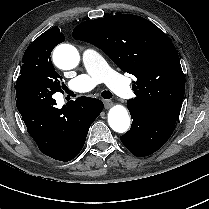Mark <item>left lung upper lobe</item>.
Returning a JSON list of instances; mask_svg holds the SVG:
<instances>
[{
	"label": "left lung upper lobe",
	"instance_id": "1",
	"mask_svg": "<svg viewBox=\"0 0 209 209\" xmlns=\"http://www.w3.org/2000/svg\"><path fill=\"white\" fill-rule=\"evenodd\" d=\"M73 37L95 45L137 81L127 104L175 123L185 93L180 59L169 37L147 19L117 14L85 21Z\"/></svg>",
	"mask_w": 209,
	"mask_h": 209
}]
</instances>
